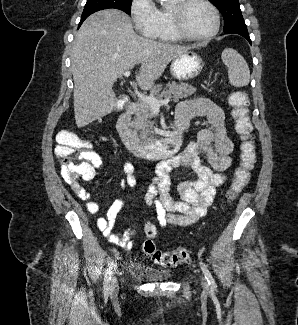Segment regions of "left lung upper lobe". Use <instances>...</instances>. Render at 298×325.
<instances>
[{
	"instance_id": "5c2ea615",
	"label": "left lung upper lobe",
	"mask_w": 298,
	"mask_h": 325,
	"mask_svg": "<svg viewBox=\"0 0 298 325\" xmlns=\"http://www.w3.org/2000/svg\"><path fill=\"white\" fill-rule=\"evenodd\" d=\"M221 11L224 18V30L245 25L238 0H210Z\"/></svg>"
}]
</instances>
